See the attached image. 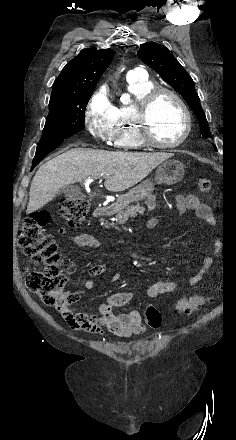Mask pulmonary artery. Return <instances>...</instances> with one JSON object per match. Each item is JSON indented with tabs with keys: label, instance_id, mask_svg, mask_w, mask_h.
Here are the masks:
<instances>
[{
	"label": "pulmonary artery",
	"instance_id": "pulmonary-artery-1",
	"mask_svg": "<svg viewBox=\"0 0 236 440\" xmlns=\"http://www.w3.org/2000/svg\"><path fill=\"white\" fill-rule=\"evenodd\" d=\"M147 77L146 72L142 68H136L129 72L128 78L144 79Z\"/></svg>",
	"mask_w": 236,
	"mask_h": 440
}]
</instances>
